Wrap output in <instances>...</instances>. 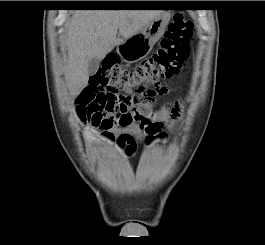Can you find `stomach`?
Returning a JSON list of instances; mask_svg holds the SVG:
<instances>
[{"label":"stomach","mask_w":265,"mask_h":245,"mask_svg":"<svg viewBox=\"0 0 265 245\" xmlns=\"http://www.w3.org/2000/svg\"><path fill=\"white\" fill-rule=\"evenodd\" d=\"M170 13L162 11L138 33L117 45V53L124 62L134 63L145 58L163 36L170 21Z\"/></svg>","instance_id":"stomach-1"}]
</instances>
